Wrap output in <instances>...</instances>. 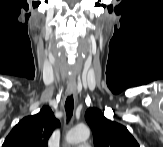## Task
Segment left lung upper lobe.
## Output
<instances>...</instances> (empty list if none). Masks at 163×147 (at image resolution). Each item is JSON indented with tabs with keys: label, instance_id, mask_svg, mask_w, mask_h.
I'll use <instances>...</instances> for the list:
<instances>
[{
	"label": "left lung upper lobe",
	"instance_id": "obj_1",
	"mask_svg": "<svg viewBox=\"0 0 163 147\" xmlns=\"http://www.w3.org/2000/svg\"><path fill=\"white\" fill-rule=\"evenodd\" d=\"M85 119L93 132L95 147H139L127 128L108 120L97 108H89Z\"/></svg>",
	"mask_w": 163,
	"mask_h": 147
}]
</instances>
